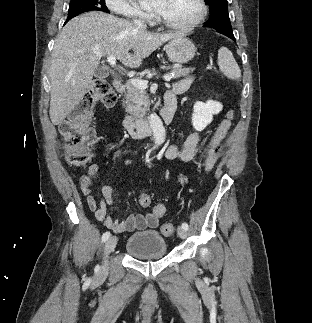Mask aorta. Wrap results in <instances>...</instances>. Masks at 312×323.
<instances>
[{
    "mask_svg": "<svg viewBox=\"0 0 312 323\" xmlns=\"http://www.w3.org/2000/svg\"><path fill=\"white\" fill-rule=\"evenodd\" d=\"M149 126L153 132L154 144L155 146H159V144L164 142L165 136V128L162 124V120H160L156 114H150Z\"/></svg>",
    "mask_w": 312,
    "mask_h": 323,
    "instance_id": "762f6f07",
    "label": "aorta"
}]
</instances>
